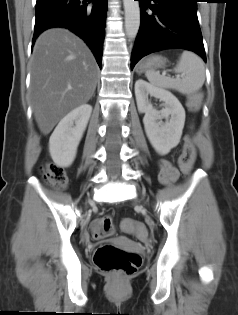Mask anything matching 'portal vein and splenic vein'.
I'll return each instance as SVG.
<instances>
[{"mask_svg":"<svg viewBox=\"0 0 238 315\" xmlns=\"http://www.w3.org/2000/svg\"><path fill=\"white\" fill-rule=\"evenodd\" d=\"M180 77H181V75H177V76H176V78H178V79H179Z\"/></svg>","mask_w":238,"mask_h":315,"instance_id":"18ae733b","label":"portal vein and splenic vein"}]
</instances>
